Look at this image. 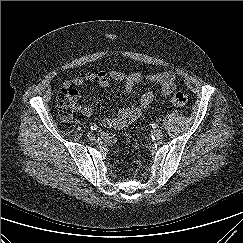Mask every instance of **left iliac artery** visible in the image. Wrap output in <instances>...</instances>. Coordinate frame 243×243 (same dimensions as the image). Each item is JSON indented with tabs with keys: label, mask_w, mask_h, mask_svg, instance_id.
<instances>
[{
	"label": "left iliac artery",
	"mask_w": 243,
	"mask_h": 243,
	"mask_svg": "<svg viewBox=\"0 0 243 243\" xmlns=\"http://www.w3.org/2000/svg\"><path fill=\"white\" fill-rule=\"evenodd\" d=\"M151 126H152V128H157L158 127V125L156 123H153Z\"/></svg>",
	"instance_id": "1"
}]
</instances>
